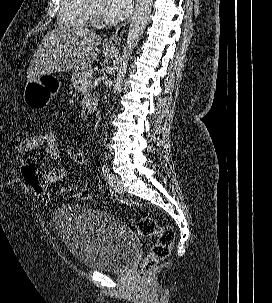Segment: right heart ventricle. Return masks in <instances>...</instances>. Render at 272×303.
I'll use <instances>...</instances> for the list:
<instances>
[{"label":"right heart ventricle","instance_id":"obj_1","mask_svg":"<svg viewBox=\"0 0 272 303\" xmlns=\"http://www.w3.org/2000/svg\"><path fill=\"white\" fill-rule=\"evenodd\" d=\"M92 19L89 12V0H61L59 22L69 27H87Z\"/></svg>","mask_w":272,"mask_h":303}]
</instances>
